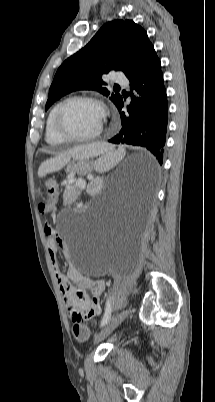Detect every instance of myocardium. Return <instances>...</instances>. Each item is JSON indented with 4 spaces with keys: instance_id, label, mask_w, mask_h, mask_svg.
<instances>
[{
    "instance_id": "obj_1",
    "label": "myocardium",
    "mask_w": 215,
    "mask_h": 402,
    "mask_svg": "<svg viewBox=\"0 0 215 402\" xmlns=\"http://www.w3.org/2000/svg\"><path fill=\"white\" fill-rule=\"evenodd\" d=\"M75 101L91 102L93 104H96L101 109V111L103 113V117H104V123L98 131H96L95 133L90 134V135L78 136V135L71 134L64 129V127L62 125V121H61L62 112L68 104L75 102ZM107 118H108V110H107L105 103L101 99L94 97V96H89V95H74V96L64 99L57 105L55 113H54V128H55L57 134L66 141L90 142V141H94V140L98 139L104 133L105 123L107 121Z\"/></svg>"
}]
</instances>
